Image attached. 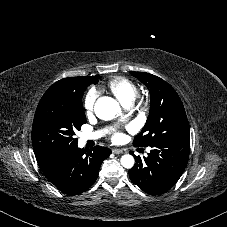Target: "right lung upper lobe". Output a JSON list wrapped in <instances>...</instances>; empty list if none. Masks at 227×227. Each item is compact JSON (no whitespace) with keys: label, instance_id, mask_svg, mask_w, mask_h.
<instances>
[{"label":"right lung upper lobe","instance_id":"cb5924a9","mask_svg":"<svg viewBox=\"0 0 227 227\" xmlns=\"http://www.w3.org/2000/svg\"><path fill=\"white\" fill-rule=\"evenodd\" d=\"M86 76L64 78L54 83L45 94L67 95L77 94L84 85Z\"/></svg>","mask_w":227,"mask_h":227}]
</instances>
